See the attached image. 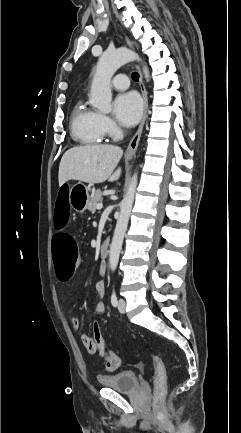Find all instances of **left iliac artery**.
<instances>
[{
    "mask_svg": "<svg viewBox=\"0 0 241 433\" xmlns=\"http://www.w3.org/2000/svg\"><path fill=\"white\" fill-rule=\"evenodd\" d=\"M111 304L116 307L117 306V296L115 293V290L113 289L112 294H111Z\"/></svg>",
    "mask_w": 241,
    "mask_h": 433,
    "instance_id": "44dca946",
    "label": "left iliac artery"
}]
</instances>
